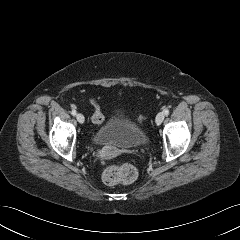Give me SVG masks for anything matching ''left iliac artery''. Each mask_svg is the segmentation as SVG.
Instances as JSON below:
<instances>
[{
	"instance_id": "1",
	"label": "left iliac artery",
	"mask_w": 240,
	"mask_h": 240,
	"mask_svg": "<svg viewBox=\"0 0 240 240\" xmlns=\"http://www.w3.org/2000/svg\"><path fill=\"white\" fill-rule=\"evenodd\" d=\"M164 114H165L166 116H168V115H169V109L166 108V109L164 110Z\"/></svg>"
}]
</instances>
